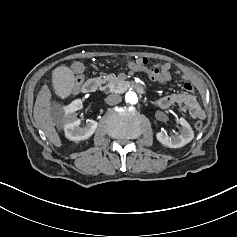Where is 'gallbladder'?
Masks as SVG:
<instances>
[{
	"instance_id": "bac80fb5",
	"label": "gallbladder",
	"mask_w": 237,
	"mask_h": 237,
	"mask_svg": "<svg viewBox=\"0 0 237 237\" xmlns=\"http://www.w3.org/2000/svg\"><path fill=\"white\" fill-rule=\"evenodd\" d=\"M74 74L66 66H58L52 71V86L59 99H68L72 95Z\"/></svg>"
}]
</instances>
